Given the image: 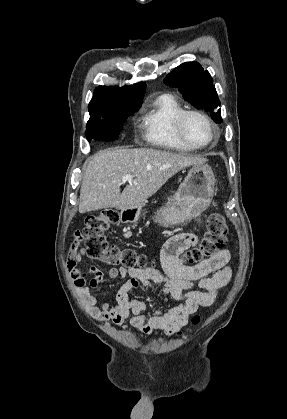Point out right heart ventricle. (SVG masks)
I'll return each instance as SVG.
<instances>
[{"instance_id": "1", "label": "right heart ventricle", "mask_w": 287, "mask_h": 419, "mask_svg": "<svg viewBox=\"0 0 287 419\" xmlns=\"http://www.w3.org/2000/svg\"><path fill=\"white\" fill-rule=\"evenodd\" d=\"M184 110L178 100L170 94L155 98L143 111L140 130L147 143L170 150L191 151L175 130V119Z\"/></svg>"}]
</instances>
